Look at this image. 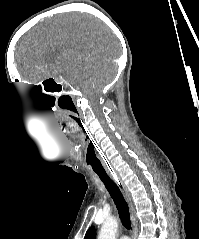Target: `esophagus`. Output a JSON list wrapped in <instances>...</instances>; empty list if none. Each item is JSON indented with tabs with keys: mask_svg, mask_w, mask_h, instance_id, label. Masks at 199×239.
<instances>
[{
	"mask_svg": "<svg viewBox=\"0 0 199 239\" xmlns=\"http://www.w3.org/2000/svg\"><path fill=\"white\" fill-rule=\"evenodd\" d=\"M112 179L118 184V186L120 187V189L122 190V193L130 207V209L133 208V203H132V199H131V195L129 193V190L127 189L126 185L124 184V182L121 180V178L118 175H111ZM133 224V232L135 231V222H132Z\"/></svg>",
	"mask_w": 199,
	"mask_h": 239,
	"instance_id": "esophagus-1",
	"label": "esophagus"
}]
</instances>
